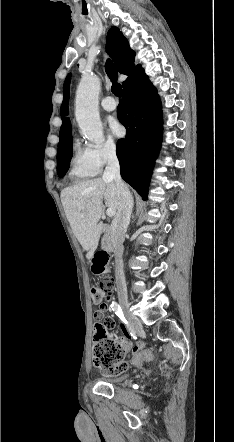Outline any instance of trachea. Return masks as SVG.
<instances>
[{
  "label": "trachea",
  "mask_w": 234,
  "mask_h": 442,
  "mask_svg": "<svg viewBox=\"0 0 234 442\" xmlns=\"http://www.w3.org/2000/svg\"><path fill=\"white\" fill-rule=\"evenodd\" d=\"M105 69H106V73L108 74L109 79L113 83L112 87H111L112 93L115 96L120 98L121 94H122V87H121V84L117 83L118 72L110 60H107V62L105 64Z\"/></svg>",
  "instance_id": "3493384b"
}]
</instances>
